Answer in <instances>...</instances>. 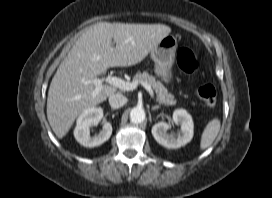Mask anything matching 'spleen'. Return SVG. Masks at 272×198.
I'll list each match as a JSON object with an SVG mask.
<instances>
[{
	"label": "spleen",
	"mask_w": 272,
	"mask_h": 198,
	"mask_svg": "<svg viewBox=\"0 0 272 198\" xmlns=\"http://www.w3.org/2000/svg\"><path fill=\"white\" fill-rule=\"evenodd\" d=\"M220 120L214 118L209 121L203 130L200 140V150H205L212 145L220 130Z\"/></svg>",
	"instance_id": "obj_1"
}]
</instances>
